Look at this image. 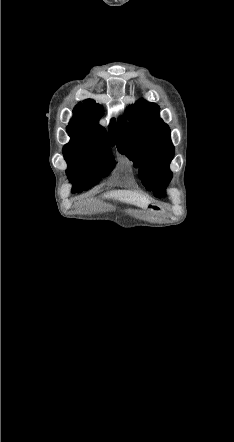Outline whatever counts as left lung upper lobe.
<instances>
[{
  "label": "left lung upper lobe",
  "mask_w": 234,
  "mask_h": 442,
  "mask_svg": "<svg viewBox=\"0 0 234 442\" xmlns=\"http://www.w3.org/2000/svg\"><path fill=\"white\" fill-rule=\"evenodd\" d=\"M126 116L130 123L122 118L117 122V149L139 168L138 174L146 189L162 197L172 178L169 165L174 147L170 129L159 118V107L145 100L130 106Z\"/></svg>",
  "instance_id": "1"
}]
</instances>
